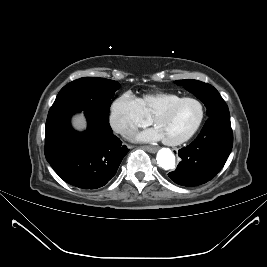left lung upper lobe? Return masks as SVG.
I'll return each mask as SVG.
<instances>
[{
  "label": "left lung upper lobe",
  "mask_w": 267,
  "mask_h": 267,
  "mask_svg": "<svg viewBox=\"0 0 267 267\" xmlns=\"http://www.w3.org/2000/svg\"><path fill=\"white\" fill-rule=\"evenodd\" d=\"M175 83L182 85L200 99L205 104L209 117L229 115L228 106L213 86L198 80H179Z\"/></svg>",
  "instance_id": "left-lung-upper-lobe-1"
}]
</instances>
